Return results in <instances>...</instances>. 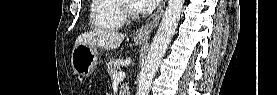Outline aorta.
Here are the masks:
<instances>
[{
	"instance_id": "1",
	"label": "aorta",
	"mask_w": 277,
	"mask_h": 95,
	"mask_svg": "<svg viewBox=\"0 0 277 95\" xmlns=\"http://www.w3.org/2000/svg\"><path fill=\"white\" fill-rule=\"evenodd\" d=\"M184 2L168 0L162 21L140 71L136 95H149L153 78L177 28Z\"/></svg>"
}]
</instances>
